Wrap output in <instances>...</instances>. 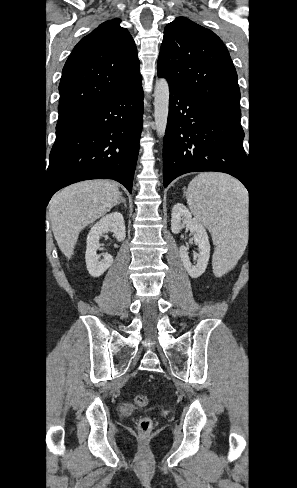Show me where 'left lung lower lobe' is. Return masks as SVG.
<instances>
[{"label": "left lung lower lobe", "instance_id": "obj_1", "mask_svg": "<svg viewBox=\"0 0 297 488\" xmlns=\"http://www.w3.org/2000/svg\"><path fill=\"white\" fill-rule=\"evenodd\" d=\"M243 138L239 122L170 87L163 144L164 187L185 173L217 171L234 176L250 193V169Z\"/></svg>", "mask_w": 297, "mask_h": 488}]
</instances>
